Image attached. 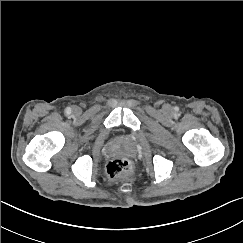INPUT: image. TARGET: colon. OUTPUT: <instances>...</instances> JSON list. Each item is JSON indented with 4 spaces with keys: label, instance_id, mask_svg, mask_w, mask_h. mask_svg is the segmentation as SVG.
I'll return each mask as SVG.
<instances>
[{
    "label": "colon",
    "instance_id": "5ec220e1",
    "mask_svg": "<svg viewBox=\"0 0 243 243\" xmlns=\"http://www.w3.org/2000/svg\"><path fill=\"white\" fill-rule=\"evenodd\" d=\"M131 170V163L125 158H113L106 166L107 175L112 179L125 177L131 172Z\"/></svg>",
    "mask_w": 243,
    "mask_h": 243
}]
</instances>
